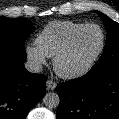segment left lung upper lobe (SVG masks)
I'll return each mask as SVG.
<instances>
[{"label": "left lung upper lobe", "mask_w": 119, "mask_h": 119, "mask_svg": "<svg viewBox=\"0 0 119 119\" xmlns=\"http://www.w3.org/2000/svg\"><path fill=\"white\" fill-rule=\"evenodd\" d=\"M96 12L101 17L106 27L107 39L102 56L91 70L102 72L115 64H119V23L111 20L101 12Z\"/></svg>", "instance_id": "5c2ea615"}]
</instances>
